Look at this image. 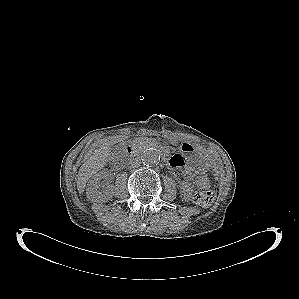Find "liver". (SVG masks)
Returning a JSON list of instances; mask_svg holds the SVG:
<instances>
[{"label": "liver", "instance_id": "liver-1", "mask_svg": "<svg viewBox=\"0 0 299 299\" xmlns=\"http://www.w3.org/2000/svg\"><path fill=\"white\" fill-rule=\"evenodd\" d=\"M125 138L126 137L123 136H113L104 139L99 148L95 149L92 155L82 164L77 178V189L79 193L84 191L89 178L107 164L111 147L125 140Z\"/></svg>", "mask_w": 299, "mask_h": 299}]
</instances>
